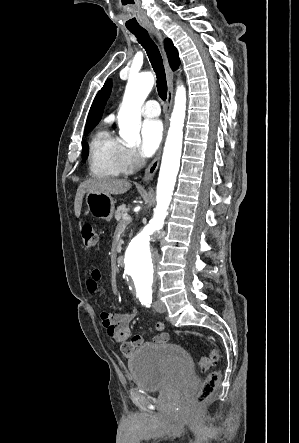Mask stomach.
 Returning <instances> with one entry per match:
<instances>
[{
  "mask_svg": "<svg viewBox=\"0 0 299 443\" xmlns=\"http://www.w3.org/2000/svg\"><path fill=\"white\" fill-rule=\"evenodd\" d=\"M85 200L91 215L108 222L111 221L115 209V202L111 195L88 192Z\"/></svg>",
  "mask_w": 299,
  "mask_h": 443,
  "instance_id": "stomach-1",
  "label": "stomach"
}]
</instances>
